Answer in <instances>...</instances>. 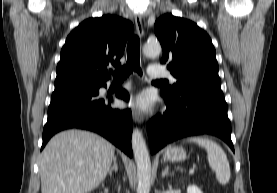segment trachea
I'll list each match as a JSON object with an SVG mask.
<instances>
[{
  "label": "trachea",
  "mask_w": 277,
  "mask_h": 193,
  "mask_svg": "<svg viewBox=\"0 0 277 193\" xmlns=\"http://www.w3.org/2000/svg\"><path fill=\"white\" fill-rule=\"evenodd\" d=\"M133 71L142 75L140 68V39L138 36H133L127 45V63L122 67H117L113 73L114 81H123ZM165 80H157L155 83H163Z\"/></svg>",
  "instance_id": "1"
}]
</instances>
